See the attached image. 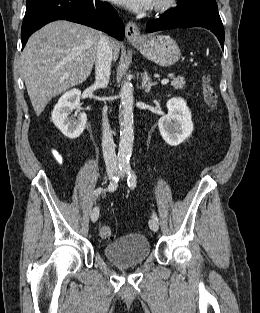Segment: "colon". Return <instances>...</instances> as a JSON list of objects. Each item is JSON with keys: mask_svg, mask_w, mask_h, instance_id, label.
<instances>
[{"mask_svg": "<svg viewBox=\"0 0 260 313\" xmlns=\"http://www.w3.org/2000/svg\"><path fill=\"white\" fill-rule=\"evenodd\" d=\"M201 86L206 104L209 107L214 108L217 105L218 98L214 88L210 83V79L207 76L202 77ZM99 235L102 239L105 240H111L113 238L112 230L107 225H101L99 227Z\"/></svg>", "mask_w": 260, "mask_h": 313, "instance_id": "colon-1", "label": "colon"}]
</instances>
